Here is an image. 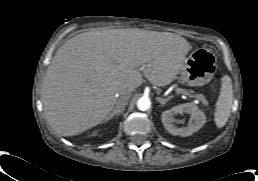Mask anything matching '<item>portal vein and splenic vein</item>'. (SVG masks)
Listing matches in <instances>:
<instances>
[{
	"instance_id": "18ae733b",
	"label": "portal vein and splenic vein",
	"mask_w": 258,
	"mask_h": 181,
	"mask_svg": "<svg viewBox=\"0 0 258 181\" xmlns=\"http://www.w3.org/2000/svg\"><path fill=\"white\" fill-rule=\"evenodd\" d=\"M176 93L177 94H183V95H186L188 97H194L191 93H189L188 91H185L183 89H176Z\"/></svg>"
}]
</instances>
